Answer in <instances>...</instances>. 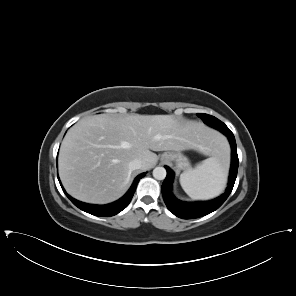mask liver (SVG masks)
Listing matches in <instances>:
<instances>
[{
    "mask_svg": "<svg viewBox=\"0 0 296 296\" xmlns=\"http://www.w3.org/2000/svg\"><path fill=\"white\" fill-rule=\"evenodd\" d=\"M219 142L223 139L203 123L172 115L89 116L63 139L59 176L72 197L107 204L126 192L132 160L140 159L141 169L149 170L158 161L152 151L192 149L213 155Z\"/></svg>",
    "mask_w": 296,
    "mask_h": 296,
    "instance_id": "obj_1",
    "label": "liver"
}]
</instances>
